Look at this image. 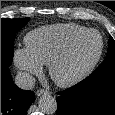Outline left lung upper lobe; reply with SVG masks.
<instances>
[{
  "instance_id": "left-lung-upper-lobe-1",
  "label": "left lung upper lobe",
  "mask_w": 115,
  "mask_h": 115,
  "mask_svg": "<svg viewBox=\"0 0 115 115\" xmlns=\"http://www.w3.org/2000/svg\"><path fill=\"white\" fill-rule=\"evenodd\" d=\"M111 71H115V41L112 37L109 38L108 52L105 60L92 75H99Z\"/></svg>"
}]
</instances>
